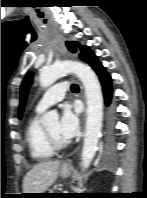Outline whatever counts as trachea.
I'll return each mask as SVG.
<instances>
[{"label": "trachea", "instance_id": "1", "mask_svg": "<svg viewBox=\"0 0 147 198\" xmlns=\"http://www.w3.org/2000/svg\"><path fill=\"white\" fill-rule=\"evenodd\" d=\"M71 90H72V91H77V90H79L78 85H77V84H72V85H71Z\"/></svg>", "mask_w": 147, "mask_h": 198}]
</instances>
